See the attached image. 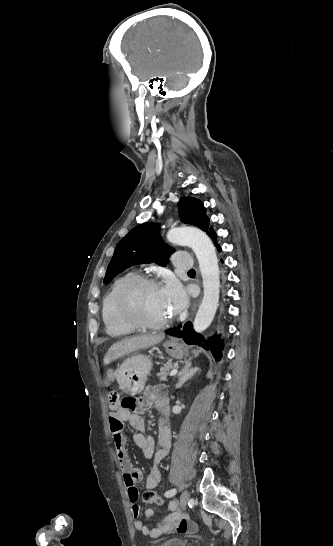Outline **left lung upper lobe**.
Here are the masks:
<instances>
[{
	"mask_svg": "<svg viewBox=\"0 0 333 546\" xmlns=\"http://www.w3.org/2000/svg\"><path fill=\"white\" fill-rule=\"evenodd\" d=\"M181 221L201 228L209 229V218L205 214L203 203L192 197H182L178 203ZM174 252L160 236V227L147 222L133 228L116 246L113 257L107 267L104 283L108 284L117 274L137 264L157 263L165 266L168 256Z\"/></svg>",
	"mask_w": 333,
	"mask_h": 546,
	"instance_id": "5c2ea615",
	"label": "left lung upper lobe"
}]
</instances>
